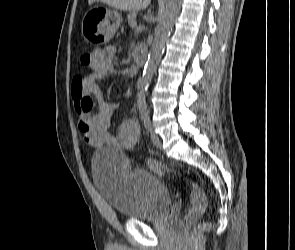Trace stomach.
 <instances>
[{"instance_id": "0dacf381", "label": "stomach", "mask_w": 295, "mask_h": 250, "mask_svg": "<svg viewBox=\"0 0 295 250\" xmlns=\"http://www.w3.org/2000/svg\"><path fill=\"white\" fill-rule=\"evenodd\" d=\"M121 23L122 16L118 11L95 6L83 17L82 34L90 41V45H107Z\"/></svg>"}]
</instances>
